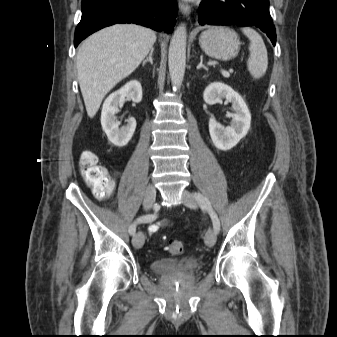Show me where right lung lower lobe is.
Segmentation results:
<instances>
[{
    "label": "right lung lower lobe",
    "mask_w": 337,
    "mask_h": 337,
    "mask_svg": "<svg viewBox=\"0 0 337 337\" xmlns=\"http://www.w3.org/2000/svg\"><path fill=\"white\" fill-rule=\"evenodd\" d=\"M82 17L75 30V47L90 34L116 23H135L171 33L176 0H82Z\"/></svg>",
    "instance_id": "98d812e1"
}]
</instances>
